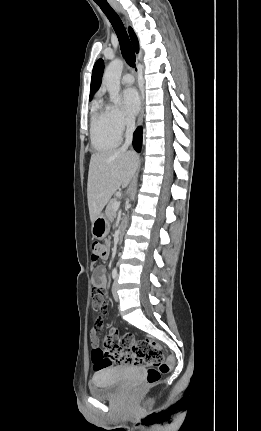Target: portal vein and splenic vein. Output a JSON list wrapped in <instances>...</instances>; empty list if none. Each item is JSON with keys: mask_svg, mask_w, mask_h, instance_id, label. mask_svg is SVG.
Segmentation results:
<instances>
[{"mask_svg": "<svg viewBox=\"0 0 261 431\" xmlns=\"http://www.w3.org/2000/svg\"><path fill=\"white\" fill-rule=\"evenodd\" d=\"M113 208H114L115 210H117V209L119 208V203H118V202H115V203L113 204Z\"/></svg>", "mask_w": 261, "mask_h": 431, "instance_id": "portal-vein-and-splenic-vein-1", "label": "portal vein and splenic vein"}]
</instances>
